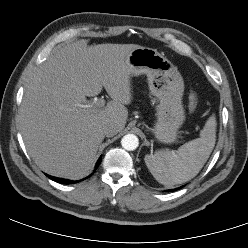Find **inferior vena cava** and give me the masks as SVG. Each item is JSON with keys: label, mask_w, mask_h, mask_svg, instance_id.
Wrapping results in <instances>:
<instances>
[{"label": "inferior vena cava", "mask_w": 248, "mask_h": 248, "mask_svg": "<svg viewBox=\"0 0 248 248\" xmlns=\"http://www.w3.org/2000/svg\"><path fill=\"white\" fill-rule=\"evenodd\" d=\"M103 132L107 137H113L119 132V129L116 124L108 123L103 126Z\"/></svg>", "instance_id": "602c4592"}]
</instances>
